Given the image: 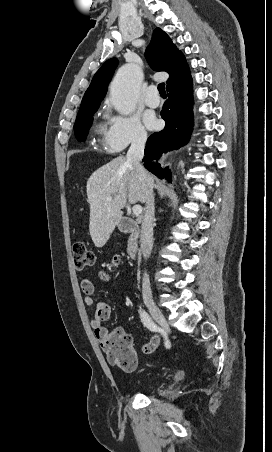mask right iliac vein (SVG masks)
Segmentation results:
<instances>
[{
	"instance_id": "1",
	"label": "right iliac vein",
	"mask_w": 272,
	"mask_h": 452,
	"mask_svg": "<svg viewBox=\"0 0 272 452\" xmlns=\"http://www.w3.org/2000/svg\"><path fill=\"white\" fill-rule=\"evenodd\" d=\"M146 306L154 320L167 332H170L169 325L161 310L151 301L146 302Z\"/></svg>"
}]
</instances>
